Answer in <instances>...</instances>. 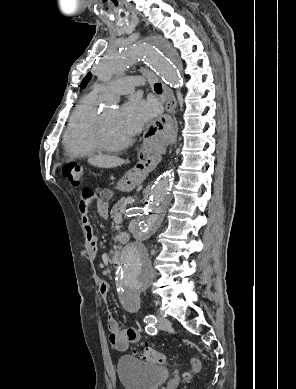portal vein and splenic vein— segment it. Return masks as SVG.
<instances>
[{
	"label": "portal vein and splenic vein",
	"mask_w": 296,
	"mask_h": 389,
	"mask_svg": "<svg viewBox=\"0 0 296 389\" xmlns=\"http://www.w3.org/2000/svg\"><path fill=\"white\" fill-rule=\"evenodd\" d=\"M114 220L120 222V221L122 220L121 214L116 215L115 218H114Z\"/></svg>",
	"instance_id": "1"
}]
</instances>
